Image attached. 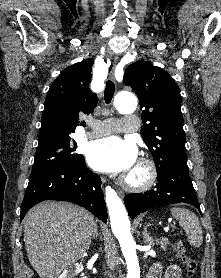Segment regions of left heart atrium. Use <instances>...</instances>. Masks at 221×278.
Listing matches in <instances>:
<instances>
[{
	"label": "left heart atrium",
	"instance_id": "left-heart-atrium-1",
	"mask_svg": "<svg viewBox=\"0 0 221 278\" xmlns=\"http://www.w3.org/2000/svg\"><path fill=\"white\" fill-rule=\"evenodd\" d=\"M89 165L101 172L127 173L137 160V147L117 136L92 141L86 152Z\"/></svg>",
	"mask_w": 221,
	"mask_h": 278
}]
</instances>
